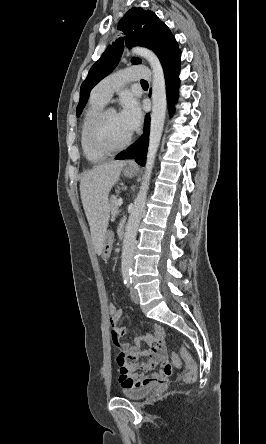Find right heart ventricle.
<instances>
[{"label":"right heart ventricle","instance_id":"e07e8e85","mask_svg":"<svg viewBox=\"0 0 266 444\" xmlns=\"http://www.w3.org/2000/svg\"><path fill=\"white\" fill-rule=\"evenodd\" d=\"M105 104L106 102L92 95L89 105L84 113L81 125V131H80L81 148L85 157L91 161H101L104 160L109 155L92 150L87 143L88 126L92 121V119L96 116V114L104 108Z\"/></svg>","mask_w":266,"mask_h":444}]
</instances>
